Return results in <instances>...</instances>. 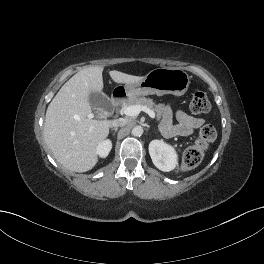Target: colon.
Returning a JSON list of instances; mask_svg holds the SVG:
<instances>
[{
  "mask_svg": "<svg viewBox=\"0 0 264 264\" xmlns=\"http://www.w3.org/2000/svg\"><path fill=\"white\" fill-rule=\"evenodd\" d=\"M190 109L196 114L206 113L210 110V102L204 92L197 91L193 94ZM216 135V129L212 125H204L199 131L195 144L185 150L182 158V168L192 169L196 167L203 157L204 150L215 140Z\"/></svg>",
  "mask_w": 264,
  "mask_h": 264,
  "instance_id": "5ec220e1",
  "label": "colon"
}]
</instances>
